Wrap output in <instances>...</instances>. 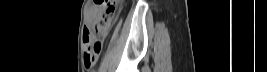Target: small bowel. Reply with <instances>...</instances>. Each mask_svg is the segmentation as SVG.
Here are the masks:
<instances>
[{"instance_id":"obj_1","label":"small bowel","mask_w":267,"mask_h":72,"mask_svg":"<svg viewBox=\"0 0 267 72\" xmlns=\"http://www.w3.org/2000/svg\"><path fill=\"white\" fill-rule=\"evenodd\" d=\"M88 30H90L89 28H87V30H86V32L88 31ZM85 37V36H84ZM83 46H84V44H83ZM101 51V50H100ZM100 53V52H99ZM98 56H99V54L97 55V59H98ZM86 57V54L84 53V57H83V59ZM84 64H85V66H86V68H91L92 67V65H90V64H88V63H86V62H84Z\"/></svg>"}]
</instances>
